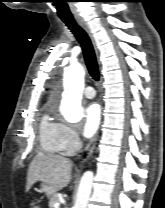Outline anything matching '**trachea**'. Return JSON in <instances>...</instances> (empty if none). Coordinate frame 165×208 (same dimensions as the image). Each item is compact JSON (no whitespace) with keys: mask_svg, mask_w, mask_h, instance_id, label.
Returning <instances> with one entry per match:
<instances>
[{"mask_svg":"<svg viewBox=\"0 0 165 208\" xmlns=\"http://www.w3.org/2000/svg\"><path fill=\"white\" fill-rule=\"evenodd\" d=\"M63 22L66 24V26L71 30V32L75 35V37L79 41L83 50V55L87 69L90 75L92 76V78L98 81L99 68L96 60L95 51L88 34L73 19H63Z\"/></svg>","mask_w":165,"mask_h":208,"instance_id":"3493384b","label":"trachea"}]
</instances>
